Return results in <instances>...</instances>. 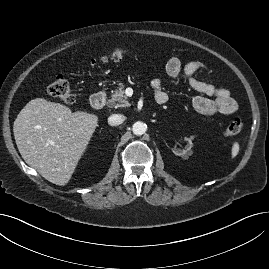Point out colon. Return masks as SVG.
Returning <instances> with one entry per match:
<instances>
[{
	"mask_svg": "<svg viewBox=\"0 0 269 269\" xmlns=\"http://www.w3.org/2000/svg\"><path fill=\"white\" fill-rule=\"evenodd\" d=\"M130 51L124 48H115L102 54L95 62L105 63L108 61H119L124 58ZM51 97L65 103L72 104L75 101V94L70 83L63 77L57 76L48 87ZM244 128V122L240 118H233L223 130L224 136H233L240 133Z\"/></svg>",
	"mask_w": 269,
	"mask_h": 269,
	"instance_id": "obj_1",
	"label": "colon"
}]
</instances>
